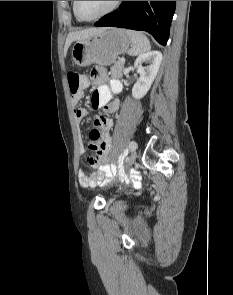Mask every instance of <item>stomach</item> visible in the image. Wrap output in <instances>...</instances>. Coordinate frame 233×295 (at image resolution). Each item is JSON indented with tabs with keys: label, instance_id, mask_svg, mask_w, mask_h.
Instances as JSON below:
<instances>
[{
	"label": "stomach",
	"instance_id": "stomach-1",
	"mask_svg": "<svg viewBox=\"0 0 233 295\" xmlns=\"http://www.w3.org/2000/svg\"><path fill=\"white\" fill-rule=\"evenodd\" d=\"M130 43L124 29L105 28L89 38L75 41L71 51L72 60L80 67L111 65L119 55L127 52Z\"/></svg>",
	"mask_w": 233,
	"mask_h": 295
}]
</instances>
